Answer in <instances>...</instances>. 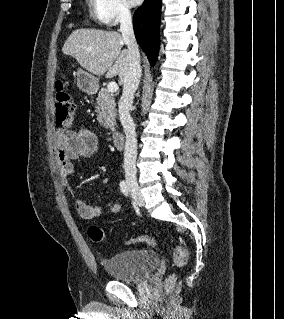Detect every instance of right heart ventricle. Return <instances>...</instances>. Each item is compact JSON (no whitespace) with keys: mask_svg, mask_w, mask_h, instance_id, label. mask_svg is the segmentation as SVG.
Masks as SVG:
<instances>
[{"mask_svg":"<svg viewBox=\"0 0 284 319\" xmlns=\"http://www.w3.org/2000/svg\"><path fill=\"white\" fill-rule=\"evenodd\" d=\"M88 3L92 9H94V0H88Z\"/></svg>","mask_w":284,"mask_h":319,"instance_id":"obj_1","label":"right heart ventricle"}]
</instances>
